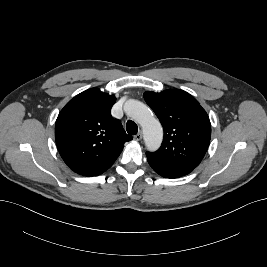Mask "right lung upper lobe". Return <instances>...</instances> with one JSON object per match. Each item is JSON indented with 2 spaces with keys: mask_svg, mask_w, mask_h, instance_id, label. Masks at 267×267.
Masks as SVG:
<instances>
[{
  "mask_svg": "<svg viewBox=\"0 0 267 267\" xmlns=\"http://www.w3.org/2000/svg\"><path fill=\"white\" fill-rule=\"evenodd\" d=\"M114 95L98 88L88 89L60 111L55 124V140L61 157L74 172L97 176L112 166L132 140L119 120L111 116Z\"/></svg>",
  "mask_w": 267,
  "mask_h": 267,
  "instance_id": "1",
  "label": "right lung upper lobe"
}]
</instances>
